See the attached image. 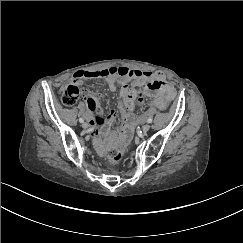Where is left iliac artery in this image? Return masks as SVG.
<instances>
[{
	"label": "left iliac artery",
	"mask_w": 243,
	"mask_h": 243,
	"mask_svg": "<svg viewBox=\"0 0 243 243\" xmlns=\"http://www.w3.org/2000/svg\"><path fill=\"white\" fill-rule=\"evenodd\" d=\"M153 119L152 118H148L147 122L148 123H152Z\"/></svg>",
	"instance_id": "left-iliac-artery-1"
}]
</instances>
